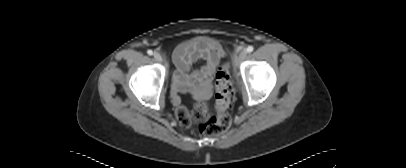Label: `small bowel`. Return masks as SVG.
<instances>
[{"label":"small bowel","instance_id":"obj_1","mask_svg":"<svg viewBox=\"0 0 406 168\" xmlns=\"http://www.w3.org/2000/svg\"><path fill=\"white\" fill-rule=\"evenodd\" d=\"M224 56L220 45L209 40L195 45H181L174 51L173 59L176 65L175 79L179 87H183L189 81H201L206 88L211 85L215 70ZM203 61L204 64L188 74L193 63ZM174 103L179 104L178 96L173 97Z\"/></svg>","mask_w":406,"mask_h":168}]
</instances>
